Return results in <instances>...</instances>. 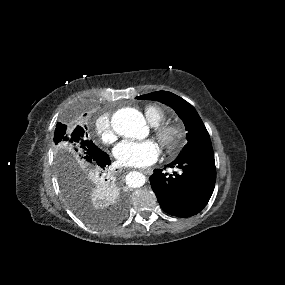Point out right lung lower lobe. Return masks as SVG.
<instances>
[{"label": "right lung lower lobe", "mask_w": 285, "mask_h": 285, "mask_svg": "<svg viewBox=\"0 0 285 285\" xmlns=\"http://www.w3.org/2000/svg\"><path fill=\"white\" fill-rule=\"evenodd\" d=\"M110 164H111V160L109 158V155L105 152H103V154H101L97 159V165L100 167L102 172H104L105 169H107ZM105 181H107V182H105ZM103 182H104L103 186H105L106 189H108L111 192L114 191V188H115L114 182L110 176L106 177V175L104 174Z\"/></svg>", "instance_id": "obj_1"}]
</instances>
